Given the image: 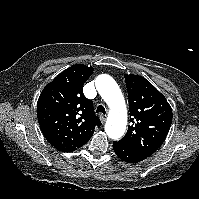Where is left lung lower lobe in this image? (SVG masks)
Listing matches in <instances>:
<instances>
[{
    "label": "left lung lower lobe",
    "mask_w": 199,
    "mask_h": 199,
    "mask_svg": "<svg viewBox=\"0 0 199 199\" xmlns=\"http://www.w3.org/2000/svg\"><path fill=\"white\" fill-rule=\"evenodd\" d=\"M113 149L121 160L128 163H137L147 158V156L135 151L120 141L113 142Z\"/></svg>",
    "instance_id": "0a47b994"
}]
</instances>
